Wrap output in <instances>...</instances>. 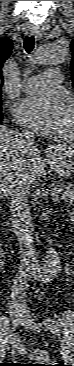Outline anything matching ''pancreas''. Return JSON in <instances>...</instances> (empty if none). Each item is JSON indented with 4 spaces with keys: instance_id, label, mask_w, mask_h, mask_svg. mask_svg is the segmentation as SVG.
<instances>
[{
    "instance_id": "pancreas-1",
    "label": "pancreas",
    "mask_w": 74,
    "mask_h": 366,
    "mask_svg": "<svg viewBox=\"0 0 74 366\" xmlns=\"http://www.w3.org/2000/svg\"><path fill=\"white\" fill-rule=\"evenodd\" d=\"M54 190H60L64 194L66 201H71L74 196L73 185L71 184H61L58 185Z\"/></svg>"
}]
</instances>
